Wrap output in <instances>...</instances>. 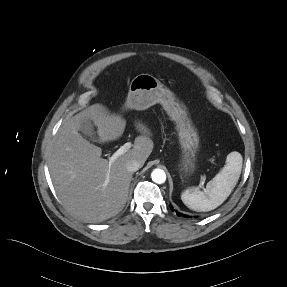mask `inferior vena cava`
<instances>
[{
  "label": "inferior vena cava",
  "instance_id": "inferior-vena-cava-1",
  "mask_svg": "<svg viewBox=\"0 0 287 287\" xmlns=\"http://www.w3.org/2000/svg\"><path fill=\"white\" fill-rule=\"evenodd\" d=\"M142 167L141 163L136 160H130L126 163V169L129 172H135Z\"/></svg>",
  "mask_w": 287,
  "mask_h": 287
}]
</instances>
